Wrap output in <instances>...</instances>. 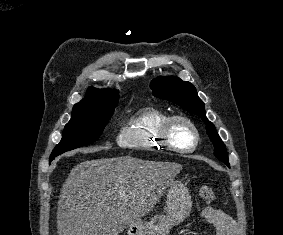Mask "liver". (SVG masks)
Instances as JSON below:
<instances>
[{
  "instance_id": "1",
  "label": "liver",
  "mask_w": 283,
  "mask_h": 235,
  "mask_svg": "<svg viewBox=\"0 0 283 235\" xmlns=\"http://www.w3.org/2000/svg\"><path fill=\"white\" fill-rule=\"evenodd\" d=\"M181 170L131 156L79 163L60 192L58 235H119L154 208Z\"/></svg>"
}]
</instances>
